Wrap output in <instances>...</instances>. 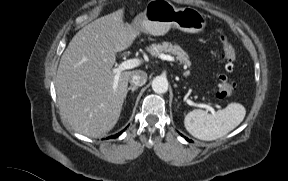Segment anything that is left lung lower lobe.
Returning a JSON list of instances; mask_svg holds the SVG:
<instances>
[{"label": "left lung lower lobe", "instance_id": "0a47b994", "mask_svg": "<svg viewBox=\"0 0 288 181\" xmlns=\"http://www.w3.org/2000/svg\"><path fill=\"white\" fill-rule=\"evenodd\" d=\"M182 135V134H181ZM183 136V135H182ZM187 141L191 142V140H189L187 137H184Z\"/></svg>", "mask_w": 288, "mask_h": 181}]
</instances>
